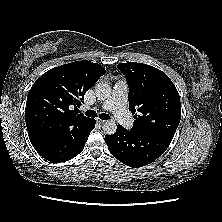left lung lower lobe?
Segmentation results:
<instances>
[{"instance_id": "1", "label": "left lung lower lobe", "mask_w": 222, "mask_h": 222, "mask_svg": "<svg viewBox=\"0 0 222 222\" xmlns=\"http://www.w3.org/2000/svg\"><path fill=\"white\" fill-rule=\"evenodd\" d=\"M173 139L172 135L136 132L117 126L116 133L105 136L111 154L127 166L139 168L159 158Z\"/></svg>"}]
</instances>
